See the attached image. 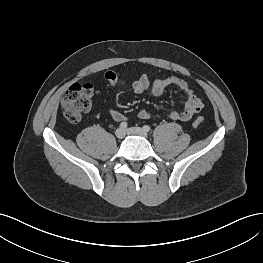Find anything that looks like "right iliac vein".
Instances as JSON below:
<instances>
[{"label":"right iliac vein","mask_w":263,"mask_h":263,"mask_svg":"<svg viewBox=\"0 0 263 263\" xmlns=\"http://www.w3.org/2000/svg\"><path fill=\"white\" fill-rule=\"evenodd\" d=\"M126 135V132L124 129H121V128H118L116 131H115V136L118 138V139H123Z\"/></svg>","instance_id":"right-iliac-vein-1"}]
</instances>
